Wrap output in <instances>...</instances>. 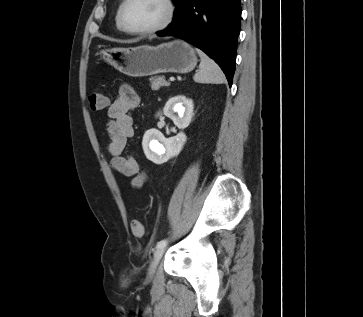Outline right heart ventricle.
Masks as SVG:
<instances>
[{
  "label": "right heart ventricle",
  "instance_id": "right-heart-ventricle-1",
  "mask_svg": "<svg viewBox=\"0 0 363 317\" xmlns=\"http://www.w3.org/2000/svg\"><path fill=\"white\" fill-rule=\"evenodd\" d=\"M117 14L118 12L116 13V17H115V21H116V26L119 30H121V28L119 27V24H118V17H117Z\"/></svg>",
  "mask_w": 363,
  "mask_h": 317
}]
</instances>
